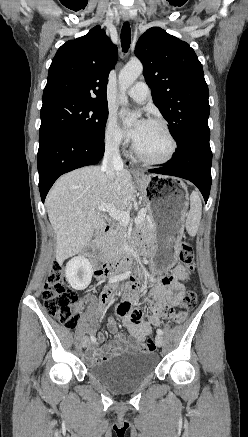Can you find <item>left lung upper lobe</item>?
<instances>
[{"mask_svg": "<svg viewBox=\"0 0 248 437\" xmlns=\"http://www.w3.org/2000/svg\"><path fill=\"white\" fill-rule=\"evenodd\" d=\"M135 54L177 147L191 133L208 128L209 92L194 50L165 30L152 27L139 38Z\"/></svg>", "mask_w": 248, "mask_h": 437, "instance_id": "left-lung-upper-lobe-1", "label": "left lung upper lobe"}]
</instances>
